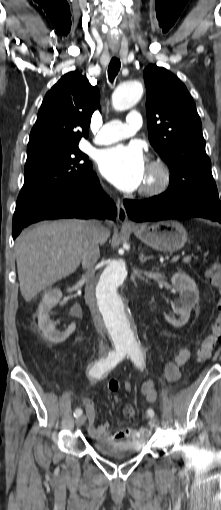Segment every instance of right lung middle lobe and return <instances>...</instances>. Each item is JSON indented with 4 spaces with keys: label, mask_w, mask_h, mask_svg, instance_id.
Returning a JSON list of instances; mask_svg holds the SVG:
<instances>
[{
    "label": "right lung middle lobe",
    "mask_w": 221,
    "mask_h": 510,
    "mask_svg": "<svg viewBox=\"0 0 221 510\" xmlns=\"http://www.w3.org/2000/svg\"><path fill=\"white\" fill-rule=\"evenodd\" d=\"M91 172L92 164L78 145L28 154L14 217L26 219L45 201L84 182Z\"/></svg>",
    "instance_id": "dd1d6c3e"
}]
</instances>
